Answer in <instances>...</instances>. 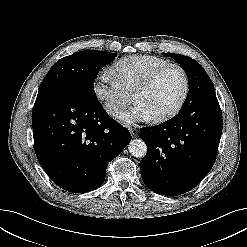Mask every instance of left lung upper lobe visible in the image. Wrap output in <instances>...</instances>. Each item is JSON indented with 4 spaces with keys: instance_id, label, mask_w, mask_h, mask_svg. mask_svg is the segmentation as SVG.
Instances as JSON below:
<instances>
[{
    "instance_id": "left-lung-upper-lobe-1",
    "label": "left lung upper lobe",
    "mask_w": 247,
    "mask_h": 247,
    "mask_svg": "<svg viewBox=\"0 0 247 247\" xmlns=\"http://www.w3.org/2000/svg\"><path fill=\"white\" fill-rule=\"evenodd\" d=\"M165 55L174 58L188 76L189 92L181 110L193 104H203L217 99L211 79L197 61L180 54Z\"/></svg>"
}]
</instances>
